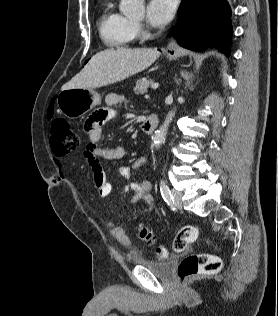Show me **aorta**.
I'll return each mask as SVG.
<instances>
[{"label":"aorta","mask_w":278,"mask_h":316,"mask_svg":"<svg viewBox=\"0 0 278 316\" xmlns=\"http://www.w3.org/2000/svg\"><path fill=\"white\" fill-rule=\"evenodd\" d=\"M120 11L128 17H141L144 14V0H121ZM175 116V111H170L163 125L155 132L152 139L156 148H160L165 141L169 124Z\"/></svg>","instance_id":"obj_1"}]
</instances>
